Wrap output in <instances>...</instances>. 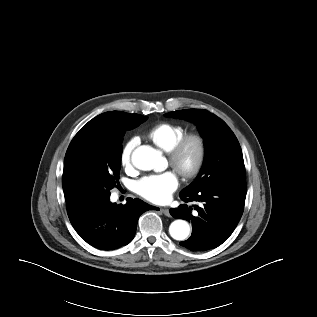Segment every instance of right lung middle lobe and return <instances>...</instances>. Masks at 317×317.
<instances>
[{
    "label": "right lung middle lobe",
    "mask_w": 317,
    "mask_h": 317,
    "mask_svg": "<svg viewBox=\"0 0 317 317\" xmlns=\"http://www.w3.org/2000/svg\"><path fill=\"white\" fill-rule=\"evenodd\" d=\"M102 122L84 126L65 156L63 191L66 201L90 205L110 196L119 185L123 136L147 117L121 111L106 112Z\"/></svg>",
    "instance_id": "obj_1"
}]
</instances>
